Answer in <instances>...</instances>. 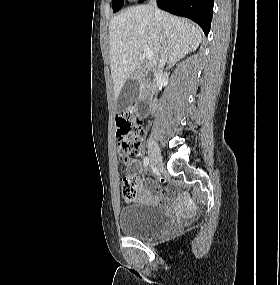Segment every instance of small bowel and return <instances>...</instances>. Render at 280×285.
<instances>
[{
  "label": "small bowel",
  "instance_id": "c3829d8e",
  "mask_svg": "<svg viewBox=\"0 0 280 285\" xmlns=\"http://www.w3.org/2000/svg\"><path fill=\"white\" fill-rule=\"evenodd\" d=\"M127 166L135 170H138L139 161L135 158L131 159L128 161ZM133 180L135 182V198L138 201H144V202L151 203V202H158L161 200L162 194L159 193V194L154 195L150 193L148 189V185L141 178L134 176Z\"/></svg>",
  "mask_w": 280,
  "mask_h": 285
}]
</instances>
